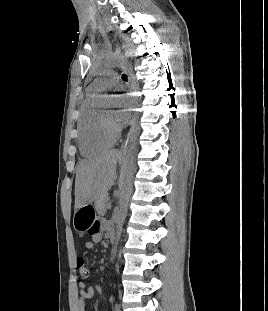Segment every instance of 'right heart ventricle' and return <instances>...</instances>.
Segmentation results:
<instances>
[{
    "instance_id": "e07e8e85",
    "label": "right heart ventricle",
    "mask_w": 268,
    "mask_h": 311,
    "mask_svg": "<svg viewBox=\"0 0 268 311\" xmlns=\"http://www.w3.org/2000/svg\"><path fill=\"white\" fill-rule=\"evenodd\" d=\"M78 144L84 156H92L110 148L116 140L107 133L102 113L96 110L90 99H87L78 116Z\"/></svg>"
}]
</instances>
